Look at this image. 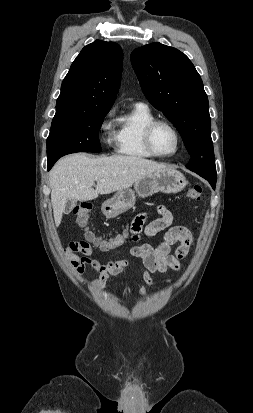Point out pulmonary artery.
I'll list each match as a JSON object with an SVG mask.
<instances>
[{
	"instance_id": "1",
	"label": "pulmonary artery",
	"mask_w": 253,
	"mask_h": 413,
	"mask_svg": "<svg viewBox=\"0 0 253 413\" xmlns=\"http://www.w3.org/2000/svg\"><path fill=\"white\" fill-rule=\"evenodd\" d=\"M137 105H142V106H146V107H147V105H146V104L141 103V102L137 103Z\"/></svg>"
}]
</instances>
